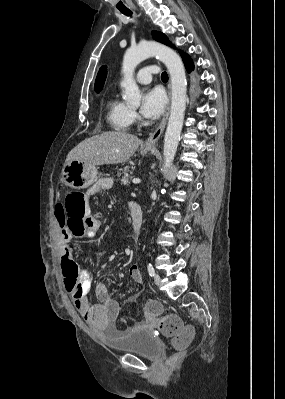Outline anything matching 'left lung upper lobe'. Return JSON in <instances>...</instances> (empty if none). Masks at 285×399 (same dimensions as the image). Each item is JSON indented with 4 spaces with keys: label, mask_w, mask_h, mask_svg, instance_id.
I'll list each match as a JSON object with an SVG mask.
<instances>
[{
    "label": "left lung upper lobe",
    "mask_w": 285,
    "mask_h": 399,
    "mask_svg": "<svg viewBox=\"0 0 285 399\" xmlns=\"http://www.w3.org/2000/svg\"><path fill=\"white\" fill-rule=\"evenodd\" d=\"M152 36H153V38H154L156 41L171 46V43H170V41L167 39V37H166L165 34H163V33H161V32H158V31H153V32H152Z\"/></svg>",
    "instance_id": "1"
}]
</instances>
